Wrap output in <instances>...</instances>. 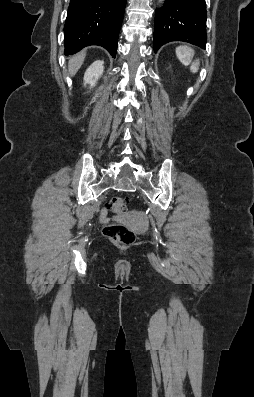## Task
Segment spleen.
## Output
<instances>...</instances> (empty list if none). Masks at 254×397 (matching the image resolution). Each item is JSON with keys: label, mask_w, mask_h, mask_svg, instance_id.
<instances>
[{"label": "spleen", "mask_w": 254, "mask_h": 397, "mask_svg": "<svg viewBox=\"0 0 254 397\" xmlns=\"http://www.w3.org/2000/svg\"><path fill=\"white\" fill-rule=\"evenodd\" d=\"M176 55L180 62L184 65H190L192 73H196L199 70V60L192 62L194 56V50L188 46H178L176 48Z\"/></svg>", "instance_id": "1"}]
</instances>
